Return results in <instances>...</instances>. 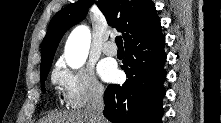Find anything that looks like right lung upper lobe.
<instances>
[{"label": "right lung upper lobe", "mask_w": 221, "mask_h": 123, "mask_svg": "<svg viewBox=\"0 0 221 123\" xmlns=\"http://www.w3.org/2000/svg\"><path fill=\"white\" fill-rule=\"evenodd\" d=\"M94 0H79L60 10L52 18L41 48V69L52 63L62 36L83 20ZM97 6L110 26L122 33L124 45L161 31L160 20L151 0H99Z\"/></svg>", "instance_id": "right-lung-upper-lobe-1"}]
</instances>
